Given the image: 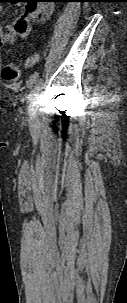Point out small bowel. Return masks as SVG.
<instances>
[{
	"mask_svg": "<svg viewBox=\"0 0 127 303\" xmlns=\"http://www.w3.org/2000/svg\"><path fill=\"white\" fill-rule=\"evenodd\" d=\"M52 0L28 1L24 6L23 14L12 24L3 28L0 25V45L13 42L16 39H25L31 31V22L34 20L46 21L53 13V5L45 4ZM1 10V8H0Z\"/></svg>",
	"mask_w": 127,
	"mask_h": 303,
	"instance_id": "1",
	"label": "small bowel"
}]
</instances>
